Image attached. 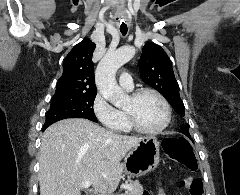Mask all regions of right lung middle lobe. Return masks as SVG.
I'll list each match as a JSON object with an SVG mask.
<instances>
[{"label":"right lung middle lobe","mask_w":240,"mask_h":195,"mask_svg":"<svg viewBox=\"0 0 240 195\" xmlns=\"http://www.w3.org/2000/svg\"><path fill=\"white\" fill-rule=\"evenodd\" d=\"M96 95H54L43 129L66 118H85L97 122L93 111Z\"/></svg>","instance_id":"obj_1"}]
</instances>
